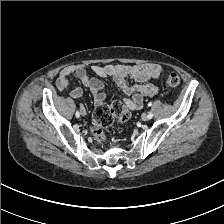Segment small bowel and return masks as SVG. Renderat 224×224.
<instances>
[{"instance_id": "small-bowel-1", "label": "small bowel", "mask_w": 224, "mask_h": 224, "mask_svg": "<svg viewBox=\"0 0 224 224\" xmlns=\"http://www.w3.org/2000/svg\"><path fill=\"white\" fill-rule=\"evenodd\" d=\"M91 71L102 78H112L123 93L130 96L123 104L129 110H139L143 106L144 97H152L158 94L159 88L150 83V80H158L163 72L160 65L147 63L140 65L107 64L92 65ZM74 74L93 94L94 103L99 106L105 101L104 84L101 80L92 77L89 68L83 64L71 65L63 68L57 78V87L60 91L69 90L71 83L69 75ZM128 79H133L136 84H128ZM82 90L75 88L71 91V97L80 98Z\"/></svg>"}]
</instances>
